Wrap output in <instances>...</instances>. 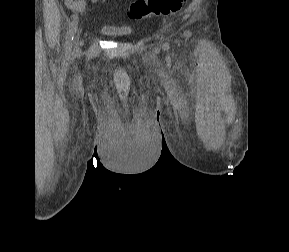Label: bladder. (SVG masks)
<instances>
[{
  "instance_id": "31cf9c89",
  "label": "bladder",
  "mask_w": 289,
  "mask_h": 252,
  "mask_svg": "<svg viewBox=\"0 0 289 252\" xmlns=\"http://www.w3.org/2000/svg\"><path fill=\"white\" fill-rule=\"evenodd\" d=\"M101 32L111 37H126L131 34V30L128 28H118L113 26H103Z\"/></svg>"
}]
</instances>
